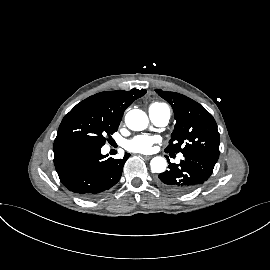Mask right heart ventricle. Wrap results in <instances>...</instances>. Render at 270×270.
Instances as JSON below:
<instances>
[{
    "mask_svg": "<svg viewBox=\"0 0 270 270\" xmlns=\"http://www.w3.org/2000/svg\"><path fill=\"white\" fill-rule=\"evenodd\" d=\"M149 109H151V110H169V108L165 104L159 103V102L152 103L150 105Z\"/></svg>",
    "mask_w": 270,
    "mask_h": 270,
    "instance_id": "right-heart-ventricle-1",
    "label": "right heart ventricle"
}]
</instances>
